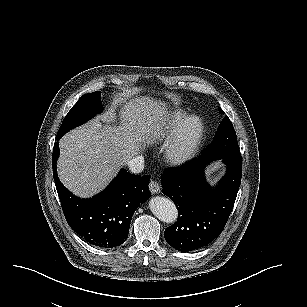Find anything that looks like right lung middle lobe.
Returning a JSON list of instances; mask_svg holds the SVG:
<instances>
[{
  "mask_svg": "<svg viewBox=\"0 0 307 307\" xmlns=\"http://www.w3.org/2000/svg\"><path fill=\"white\" fill-rule=\"evenodd\" d=\"M101 92H93L83 95L77 103L70 109L64 118L57 134V139L61 138L69 130L88 121L96 113L101 112Z\"/></svg>",
  "mask_w": 307,
  "mask_h": 307,
  "instance_id": "obj_1",
  "label": "right lung middle lobe"
}]
</instances>
